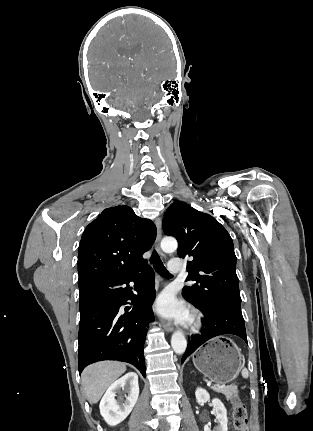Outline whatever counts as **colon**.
Wrapping results in <instances>:
<instances>
[{"label":"colon","instance_id":"obj_1","mask_svg":"<svg viewBox=\"0 0 313 431\" xmlns=\"http://www.w3.org/2000/svg\"><path fill=\"white\" fill-rule=\"evenodd\" d=\"M232 421L234 431H247V408L242 401L234 396L232 398Z\"/></svg>","mask_w":313,"mask_h":431}]
</instances>
